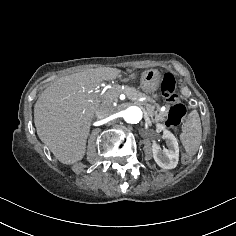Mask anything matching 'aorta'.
<instances>
[{"label": "aorta", "mask_w": 236, "mask_h": 236, "mask_svg": "<svg viewBox=\"0 0 236 236\" xmlns=\"http://www.w3.org/2000/svg\"><path fill=\"white\" fill-rule=\"evenodd\" d=\"M122 116L127 123L137 124L142 120L144 114L140 107L130 106L123 111Z\"/></svg>", "instance_id": "1"}]
</instances>
